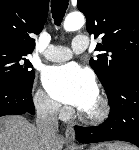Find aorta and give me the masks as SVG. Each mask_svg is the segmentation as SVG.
Here are the masks:
<instances>
[{"instance_id":"762f6f07","label":"aorta","mask_w":139,"mask_h":150,"mask_svg":"<svg viewBox=\"0 0 139 150\" xmlns=\"http://www.w3.org/2000/svg\"><path fill=\"white\" fill-rule=\"evenodd\" d=\"M85 24V17L81 12H73L66 16L63 27L71 32L80 29Z\"/></svg>"}]
</instances>
